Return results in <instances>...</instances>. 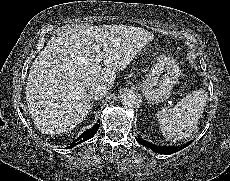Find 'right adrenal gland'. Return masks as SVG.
<instances>
[{
	"label": "right adrenal gland",
	"instance_id": "2a0ac1e0",
	"mask_svg": "<svg viewBox=\"0 0 230 181\" xmlns=\"http://www.w3.org/2000/svg\"><path fill=\"white\" fill-rule=\"evenodd\" d=\"M93 108V103H91V109Z\"/></svg>",
	"mask_w": 230,
	"mask_h": 181
}]
</instances>
